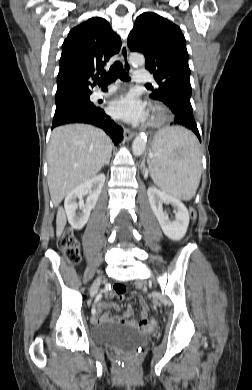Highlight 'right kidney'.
<instances>
[{
	"mask_svg": "<svg viewBox=\"0 0 252 390\" xmlns=\"http://www.w3.org/2000/svg\"><path fill=\"white\" fill-rule=\"evenodd\" d=\"M104 183L105 175L99 174L92 179L83 182L66 196L64 208L72 228L81 230L85 226L89 219L91 210L97 203ZM87 194L88 197L85 205H81L76 202L77 198L81 199ZM78 208L82 211L81 214L76 213Z\"/></svg>",
	"mask_w": 252,
	"mask_h": 390,
	"instance_id": "obj_1",
	"label": "right kidney"
}]
</instances>
